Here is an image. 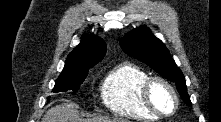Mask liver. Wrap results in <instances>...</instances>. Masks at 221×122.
Instances as JSON below:
<instances>
[{"instance_id":"obj_1","label":"liver","mask_w":221,"mask_h":122,"mask_svg":"<svg viewBox=\"0 0 221 122\" xmlns=\"http://www.w3.org/2000/svg\"><path fill=\"white\" fill-rule=\"evenodd\" d=\"M42 122H86L79 118L77 105L71 101H65L49 109L44 115ZM88 122H129L123 118L98 117L89 119Z\"/></svg>"}]
</instances>
